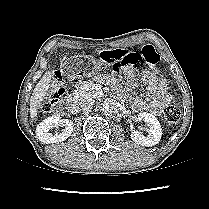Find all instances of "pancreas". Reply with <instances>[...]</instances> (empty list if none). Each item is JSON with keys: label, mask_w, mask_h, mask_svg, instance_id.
Segmentation results:
<instances>
[{"label": "pancreas", "mask_w": 209, "mask_h": 209, "mask_svg": "<svg viewBox=\"0 0 209 209\" xmlns=\"http://www.w3.org/2000/svg\"><path fill=\"white\" fill-rule=\"evenodd\" d=\"M74 94L79 98H98L101 97L102 91L96 90L95 84L93 82H85L82 84L80 89L75 91Z\"/></svg>", "instance_id": "obj_1"}]
</instances>
